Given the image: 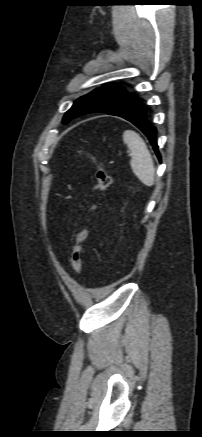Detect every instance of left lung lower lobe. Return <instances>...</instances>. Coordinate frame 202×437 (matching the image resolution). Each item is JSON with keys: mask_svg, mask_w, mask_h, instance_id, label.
Returning <instances> with one entry per match:
<instances>
[{"mask_svg": "<svg viewBox=\"0 0 202 437\" xmlns=\"http://www.w3.org/2000/svg\"><path fill=\"white\" fill-rule=\"evenodd\" d=\"M106 113L122 117L138 127L147 136L159 161H161L156 140V128L148 121L146 117V107L143 103L133 100Z\"/></svg>", "mask_w": 202, "mask_h": 437, "instance_id": "left-lung-lower-lobe-1", "label": "left lung lower lobe"}]
</instances>
